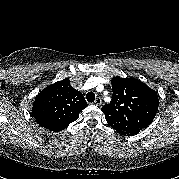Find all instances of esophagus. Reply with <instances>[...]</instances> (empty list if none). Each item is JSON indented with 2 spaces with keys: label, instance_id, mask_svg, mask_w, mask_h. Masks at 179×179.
Returning a JSON list of instances; mask_svg holds the SVG:
<instances>
[{
  "label": "esophagus",
  "instance_id": "1",
  "mask_svg": "<svg viewBox=\"0 0 179 179\" xmlns=\"http://www.w3.org/2000/svg\"><path fill=\"white\" fill-rule=\"evenodd\" d=\"M94 104L100 106L102 104V99L100 97H97L96 100L94 101Z\"/></svg>",
  "mask_w": 179,
  "mask_h": 179
}]
</instances>
